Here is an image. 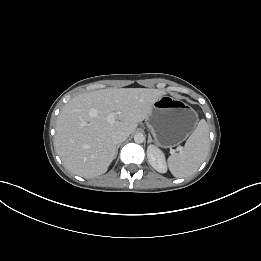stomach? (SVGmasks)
<instances>
[{"label": "stomach", "instance_id": "obj_1", "mask_svg": "<svg viewBox=\"0 0 261 261\" xmlns=\"http://www.w3.org/2000/svg\"><path fill=\"white\" fill-rule=\"evenodd\" d=\"M146 120L156 144L168 148L183 142L196 129L198 114L181 100L161 96Z\"/></svg>", "mask_w": 261, "mask_h": 261}]
</instances>
